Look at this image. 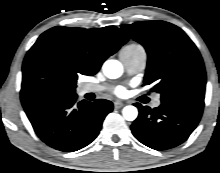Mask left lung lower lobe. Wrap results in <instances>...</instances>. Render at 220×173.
Instances as JSON below:
<instances>
[{
	"label": "left lung lower lobe",
	"mask_w": 220,
	"mask_h": 173,
	"mask_svg": "<svg viewBox=\"0 0 220 173\" xmlns=\"http://www.w3.org/2000/svg\"><path fill=\"white\" fill-rule=\"evenodd\" d=\"M139 116L133 122V135L144 145L165 150L183 143L196 128L202 116L201 109L171 101H162L150 109L135 103Z\"/></svg>",
	"instance_id": "1"
}]
</instances>
